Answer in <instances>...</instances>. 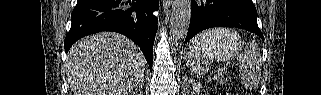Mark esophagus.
Segmentation results:
<instances>
[{"label": "esophagus", "instance_id": "obj_1", "mask_svg": "<svg viewBox=\"0 0 321 95\" xmlns=\"http://www.w3.org/2000/svg\"><path fill=\"white\" fill-rule=\"evenodd\" d=\"M172 3V1L171 0H164L163 1V4H164V6H170V4Z\"/></svg>", "mask_w": 321, "mask_h": 95}]
</instances>
